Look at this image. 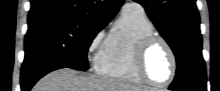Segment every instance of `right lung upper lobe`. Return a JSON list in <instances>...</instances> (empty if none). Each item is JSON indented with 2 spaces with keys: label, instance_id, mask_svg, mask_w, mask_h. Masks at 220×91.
Returning a JSON list of instances; mask_svg holds the SVG:
<instances>
[{
  "label": "right lung upper lobe",
  "instance_id": "right-lung-upper-lobe-1",
  "mask_svg": "<svg viewBox=\"0 0 220 91\" xmlns=\"http://www.w3.org/2000/svg\"><path fill=\"white\" fill-rule=\"evenodd\" d=\"M124 0H31L28 25L37 22L68 19L107 25Z\"/></svg>",
  "mask_w": 220,
  "mask_h": 91
}]
</instances>
